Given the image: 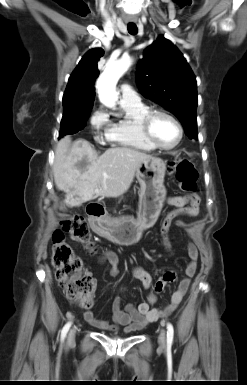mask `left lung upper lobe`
<instances>
[{
    "label": "left lung upper lobe",
    "instance_id": "5c2ea615",
    "mask_svg": "<svg viewBox=\"0 0 247 385\" xmlns=\"http://www.w3.org/2000/svg\"><path fill=\"white\" fill-rule=\"evenodd\" d=\"M136 82L145 97L180 120L190 139L198 138L196 78L181 52L164 36L144 50Z\"/></svg>",
    "mask_w": 247,
    "mask_h": 385
}]
</instances>
